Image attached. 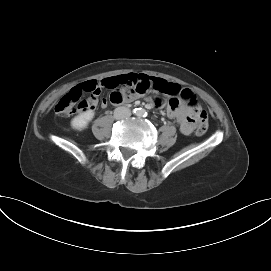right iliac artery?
<instances>
[{"label":"right iliac artery","instance_id":"obj_1","mask_svg":"<svg viewBox=\"0 0 271 271\" xmlns=\"http://www.w3.org/2000/svg\"><path fill=\"white\" fill-rule=\"evenodd\" d=\"M139 109H140V108L134 109V113H135V114H138V113L140 112Z\"/></svg>","mask_w":271,"mask_h":271}]
</instances>
